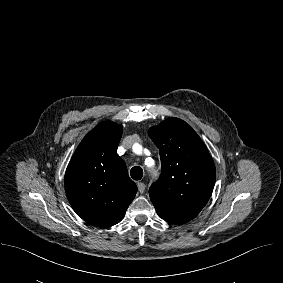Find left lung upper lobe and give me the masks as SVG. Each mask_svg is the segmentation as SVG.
<instances>
[{
	"label": "left lung upper lobe",
	"instance_id": "left-lung-upper-lobe-1",
	"mask_svg": "<svg viewBox=\"0 0 283 283\" xmlns=\"http://www.w3.org/2000/svg\"><path fill=\"white\" fill-rule=\"evenodd\" d=\"M159 149L162 173L149 189L160 218L184 224L207 204L215 184L212 157L197 133L183 120L169 118L149 129Z\"/></svg>",
	"mask_w": 283,
	"mask_h": 283
}]
</instances>
